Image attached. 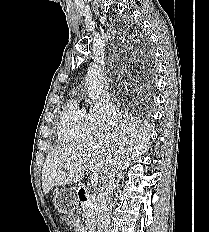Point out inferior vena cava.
Wrapping results in <instances>:
<instances>
[{
	"label": "inferior vena cava",
	"mask_w": 209,
	"mask_h": 232,
	"mask_svg": "<svg viewBox=\"0 0 209 232\" xmlns=\"http://www.w3.org/2000/svg\"><path fill=\"white\" fill-rule=\"evenodd\" d=\"M115 173V169L111 168L100 182L97 194V232H109L110 204L114 189Z\"/></svg>",
	"instance_id": "1"
}]
</instances>
